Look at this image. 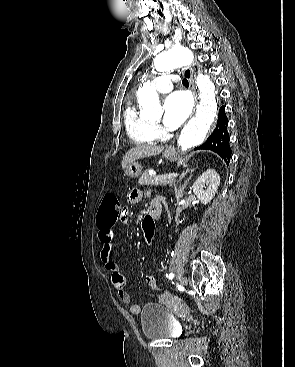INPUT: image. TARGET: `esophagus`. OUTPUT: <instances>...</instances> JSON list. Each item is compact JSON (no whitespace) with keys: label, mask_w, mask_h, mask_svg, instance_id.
<instances>
[{"label":"esophagus","mask_w":295,"mask_h":367,"mask_svg":"<svg viewBox=\"0 0 295 367\" xmlns=\"http://www.w3.org/2000/svg\"><path fill=\"white\" fill-rule=\"evenodd\" d=\"M183 75L188 79L189 81V87H190V90L192 91L193 93V96H194V100H195V105L197 104V93L195 91V87H194V82H193V73H192V69L187 67V68H184L183 69ZM173 146L170 145L166 151L167 152H171L173 151Z\"/></svg>","instance_id":"1"}]
</instances>
